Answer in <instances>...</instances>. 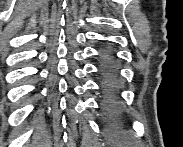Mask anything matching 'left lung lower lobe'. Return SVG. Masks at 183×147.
<instances>
[{"instance_id": "1", "label": "left lung lower lobe", "mask_w": 183, "mask_h": 147, "mask_svg": "<svg viewBox=\"0 0 183 147\" xmlns=\"http://www.w3.org/2000/svg\"><path fill=\"white\" fill-rule=\"evenodd\" d=\"M100 70L103 78V115L108 123V130L111 132L119 131L120 120L114 104V82L116 74L113 64L108 57L104 59Z\"/></svg>"}]
</instances>
